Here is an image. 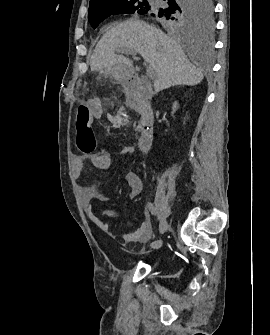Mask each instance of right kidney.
<instances>
[{"instance_id": "right-kidney-1", "label": "right kidney", "mask_w": 270, "mask_h": 335, "mask_svg": "<svg viewBox=\"0 0 270 335\" xmlns=\"http://www.w3.org/2000/svg\"><path fill=\"white\" fill-rule=\"evenodd\" d=\"M172 114H174V112H176V110H178V102H174L173 106H172Z\"/></svg>"}]
</instances>
